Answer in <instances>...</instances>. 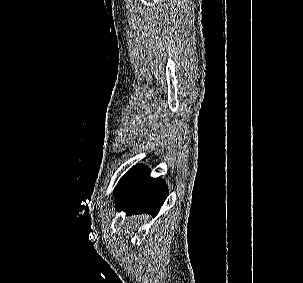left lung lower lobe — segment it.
<instances>
[{"instance_id":"left-lung-lower-lobe-1","label":"left lung lower lobe","mask_w":303,"mask_h":283,"mask_svg":"<svg viewBox=\"0 0 303 283\" xmlns=\"http://www.w3.org/2000/svg\"><path fill=\"white\" fill-rule=\"evenodd\" d=\"M115 195L119 211L156 215L167 197V188L160 178L150 177L147 167L136 166L120 179Z\"/></svg>"}]
</instances>
